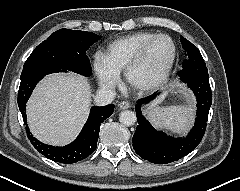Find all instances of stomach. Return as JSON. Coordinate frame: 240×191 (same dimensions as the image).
Listing matches in <instances>:
<instances>
[{
	"mask_svg": "<svg viewBox=\"0 0 240 191\" xmlns=\"http://www.w3.org/2000/svg\"><path fill=\"white\" fill-rule=\"evenodd\" d=\"M153 109H155V107H152L150 109V111L153 110ZM172 109H174L176 112H178L185 119L190 120V118H191V110H190V108H187V107L183 106V107H175V108H172Z\"/></svg>",
	"mask_w": 240,
	"mask_h": 191,
	"instance_id": "obj_1",
	"label": "stomach"
}]
</instances>
